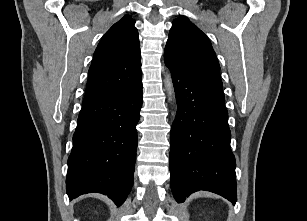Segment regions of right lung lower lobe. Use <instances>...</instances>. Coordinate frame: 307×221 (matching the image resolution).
Instances as JSON below:
<instances>
[{
    "mask_svg": "<svg viewBox=\"0 0 307 221\" xmlns=\"http://www.w3.org/2000/svg\"><path fill=\"white\" fill-rule=\"evenodd\" d=\"M142 80L114 95L83 104L68 158L70 199L99 192L123 204L134 178Z\"/></svg>",
    "mask_w": 307,
    "mask_h": 221,
    "instance_id": "98d812e1",
    "label": "right lung lower lobe"
}]
</instances>
